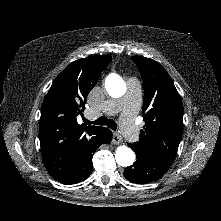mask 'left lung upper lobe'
<instances>
[{"instance_id": "obj_1", "label": "left lung upper lobe", "mask_w": 221, "mask_h": 221, "mask_svg": "<svg viewBox=\"0 0 221 221\" xmlns=\"http://www.w3.org/2000/svg\"><path fill=\"white\" fill-rule=\"evenodd\" d=\"M144 82L145 125L134 143L136 155L175 157L183 133V104L167 71L156 61L133 56Z\"/></svg>"}]
</instances>
